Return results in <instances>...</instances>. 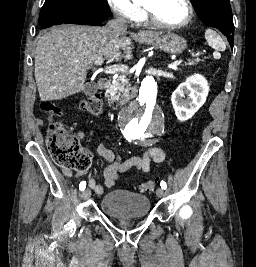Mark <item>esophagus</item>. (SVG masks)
I'll return each mask as SVG.
<instances>
[{
    "instance_id": "34e87169",
    "label": "esophagus",
    "mask_w": 256,
    "mask_h": 267,
    "mask_svg": "<svg viewBox=\"0 0 256 267\" xmlns=\"http://www.w3.org/2000/svg\"><path fill=\"white\" fill-rule=\"evenodd\" d=\"M149 34L148 33H146V32H139L138 33V36L139 37H142V36H148Z\"/></svg>"
}]
</instances>
